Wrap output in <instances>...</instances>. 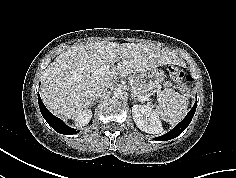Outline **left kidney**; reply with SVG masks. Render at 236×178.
<instances>
[{
  "label": "left kidney",
  "instance_id": "1",
  "mask_svg": "<svg viewBox=\"0 0 236 178\" xmlns=\"http://www.w3.org/2000/svg\"><path fill=\"white\" fill-rule=\"evenodd\" d=\"M132 115L135 124L140 130L149 134L162 133L161 121L150 106L135 104L132 107Z\"/></svg>",
  "mask_w": 236,
  "mask_h": 178
}]
</instances>
